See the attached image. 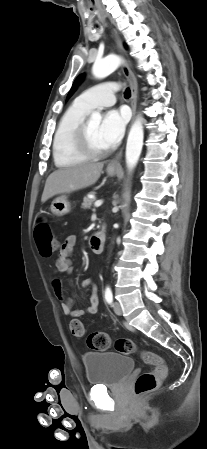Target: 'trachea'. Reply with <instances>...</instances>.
Here are the masks:
<instances>
[{
  "mask_svg": "<svg viewBox=\"0 0 207 449\" xmlns=\"http://www.w3.org/2000/svg\"><path fill=\"white\" fill-rule=\"evenodd\" d=\"M124 97L125 98H130L131 97V91L129 88L126 89V91L124 92Z\"/></svg>",
  "mask_w": 207,
  "mask_h": 449,
  "instance_id": "3493384b",
  "label": "trachea"
}]
</instances>
